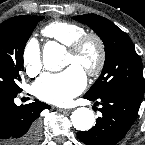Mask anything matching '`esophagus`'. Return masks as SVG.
<instances>
[{
    "mask_svg": "<svg viewBox=\"0 0 145 145\" xmlns=\"http://www.w3.org/2000/svg\"><path fill=\"white\" fill-rule=\"evenodd\" d=\"M59 112H69L70 109H62V108H58L57 109Z\"/></svg>",
    "mask_w": 145,
    "mask_h": 145,
    "instance_id": "obj_1",
    "label": "esophagus"
}]
</instances>
